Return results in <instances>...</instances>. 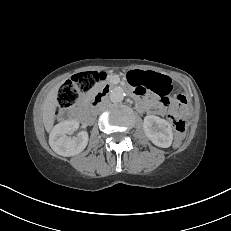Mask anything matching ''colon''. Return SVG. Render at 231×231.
<instances>
[{"mask_svg": "<svg viewBox=\"0 0 231 231\" xmlns=\"http://www.w3.org/2000/svg\"><path fill=\"white\" fill-rule=\"evenodd\" d=\"M107 74L105 72L89 71L83 72L75 75L71 80L67 81L62 85L58 94V105L57 111L67 109L75 105L84 94L91 90L95 85L100 82L105 81ZM130 84L139 88L136 82L141 80V76L138 74H130ZM181 104H185V97H180ZM172 124L175 131V142L174 146H179L181 144L182 138L186 130V123L182 117L172 116Z\"/></svg>", "mask_w": 231, "mask_h": 231, "instance_id": "obj_1", "label": "colon"}]
</instances>
